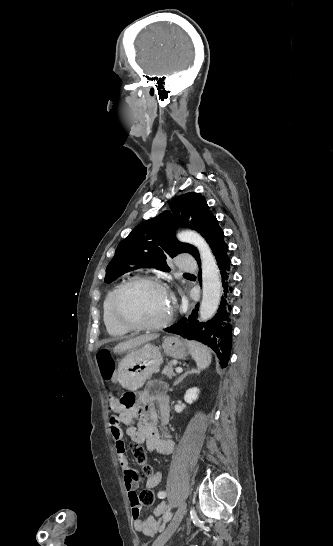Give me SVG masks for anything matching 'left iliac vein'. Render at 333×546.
Returning a JSON list of instances; mask_svg holds the SVG:
<instances>
[{"label": "left iliac vein", "instance_id": "obj_1", "mask_svg": "<svg viewBox=\"0 0 333 546\" xmlns=\"http://www.w3.org/2000/svg\"><path fill=\"white\" fill-rule=\"evenodd\" d=\"M185 513H186V503L183 502L178 507L175 515L173 516L172 520L170 521L166 529L155 540V542L153 543V546H164V544L168 541V539L177 530Z\"/></svg>", "mask_w": 333, "mask_h": 546}]
</instances>
